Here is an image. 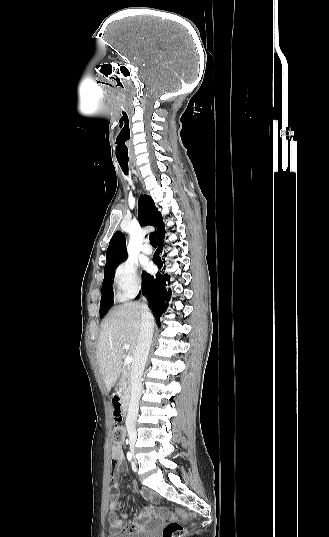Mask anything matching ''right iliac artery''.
Masks as SVG:
<instances>
[{
    "instance_id": "obj_1",
    "label": "right iliac artery",
    "mask_w": 329,
    "mask_h": 537,
    "mask_svg": "<svg viewBox=\"0 0 329 537\" xmlns=\"http://www.w3.org/2000/svg\"><path fill=\"white\" fill-rule=\"evenodd\" d=\"M127 459H128L129 461L132 460V454H131L130 452H127Z\"/></svg>"
}]
</instances>
